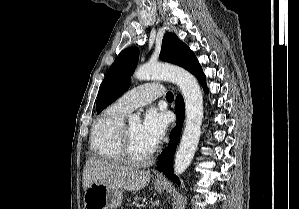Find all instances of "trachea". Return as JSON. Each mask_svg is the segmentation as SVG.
<instances>
[{
    "label": "trachea",
    "mask_w": 299,
    "mask_h": 209,
    "mask_svg": "<svg viewBox=\"0 0 299 209\" xmlns=\"http://www.w3.org/2000/svg\"><path fill=\"white\" fill-rule=\"evenodd\" d=\"M166 99H167L168 101H173V99H174V95L172 94V92H168V93L166 94Z\"/></svg>",
    "instance_id": "obj_1"
}]
</instances>
